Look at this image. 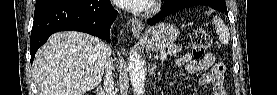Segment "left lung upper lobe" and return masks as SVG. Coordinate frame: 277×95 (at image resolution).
Here are the masks:
<instances>
[{"instance_id":"1","label":"left lung upper lobe","mask_w":277,"mask_h":95,"mask_svg":"<svg viewBox=\"0 0 277 95\" xmlns=\"http://www.w3.org/2000/svg\"><path fill=\"white\" fill-rule=\"evenodd\" d=\"M173 0H164V5L172 2ZM210 7L217 9L215 6H213V3L210 4Z\"/></svg>"}]
</instances>
